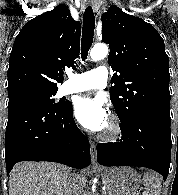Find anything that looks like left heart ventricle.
<instances>
[{"label": "left heart ventricle", "mask_w": 178, "mask_h": 195, "mask_svg": "<svg viewBox=\"0 0 178 195\" xmlns=\"http://www.w3.org/2000/svg\"><path fill=\"white\" fill-rule=\"evenodd\" d=\"M108 126H109V122L107 123V125L105 126V128L103 130L106 131Z\"/></svg>", "instance_id": "b2bd125f"}]
</instances>
